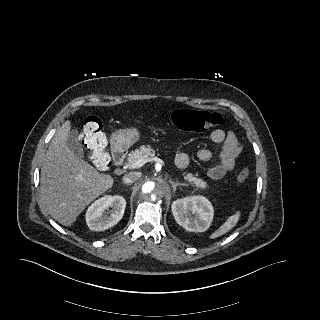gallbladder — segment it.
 I'll return each mask as SVG.
<instances>
[{
	"instance_id": "obj_1",
	"label": "gallbladder",
	"mask_w": 320,
	"mask_h": 320,
	"mask_svg": "<svg viewBox=\"0 0 320 320\" xmlns=\"http://www.w3.org/2000/svg\"><path fill=\"white\" fill-rule=\"evenodd\" d=\"M66 144L76 156L83 157V148L78 140V132L76 130H71L69 132Z\"/></svg>"
}]
</instances>
